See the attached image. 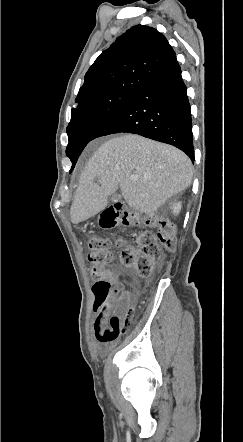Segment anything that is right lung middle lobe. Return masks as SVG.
I'll list each match as a JSON object with an SVG mask.
<instances>
[{"instance_id": "1", "label": "right lung middle lobe", "mask_w": 243, "mask_h": 442, "mask_svg": "<svg viewBox=\"0 0 243 442\" xmlns=\"http://www.w3.org/2000/svg\"><path fill=\"white\" fill-rule=\"evenodd\" d=\"M133 91L130 89L114 91L72 109L71 121L67 127L69 143L66 148L72 169L85 146L94 139L98 130Z\"/></svg>"}]
</instances>
